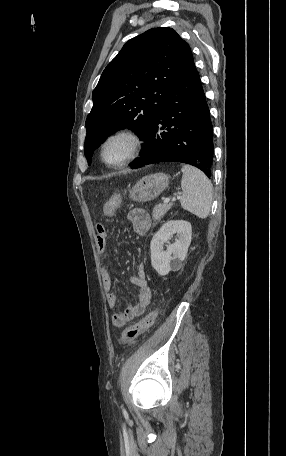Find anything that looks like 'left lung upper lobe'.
I'll use <instances>...</instances> for the list:
<instances>
[{
	"instance_id": "1",
	"label": "left lung upper lobe",
	"mask_w": 286,
	"mask_h": 456,
	"mask_svg": "<svg viewBox=\"0 0 286 456\" xmlns=\"http://www.w3.org/2000/svg\"><path fill=\"white\" fill-rule=\"evenodd\" d=\"M192 62L188 43L171 28H153L125 43L92 93L84 143L88 164L117 130L132 128L144 140L167 94Z\"/></svg>"
}]
</instances>
